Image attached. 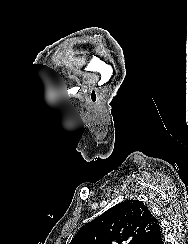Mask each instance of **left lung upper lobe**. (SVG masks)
I'll list each match as a JSON object with an SVG mask.
<instances>
[{
  "mask_svg": "<svg viewBox=\"0 0 188 244\" xmlns=\"http://www.w3.org/2000/svg\"><path fill=\"white\" fill-rule=\"evenodd\" d=\"M158 226L147 206L127 200L83 226L70 244H148Z\"/></svg>",
  "mask_w": 188,
  "mask_h": 244,
  "instance_id": "obj_1",
  "label": "left lung upper lobe"
}]
</instances>
